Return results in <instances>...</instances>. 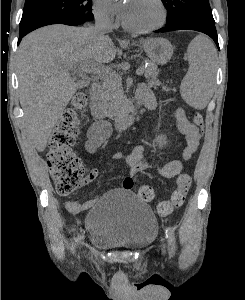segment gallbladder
I'll use <instances>...</instances> for the list:
<instances>
[{"instance_id": "gallbladder-1", "label": "gallbladder", "mask_w": 245, "mask_h": 300, "mask_svg": "<svg viewBox=\"0 0 245 300\" xmlns=\"http://www.w3.org/2000/svg\"><path fill=\"white\" fill-rule=\"evenodd\" d=\"M83 85H84V82H83V81H79V82H78V86H79V87H82Z\"/></svg>"}]
</instances>
